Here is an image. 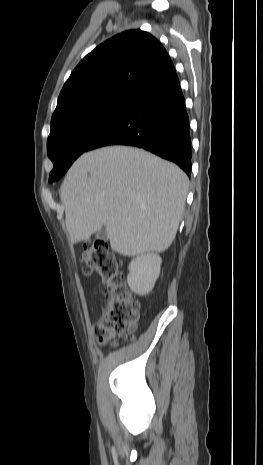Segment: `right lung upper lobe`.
Listing matches in <instances>:
<instances>
[{
    "label": "right lung upper lobe",
    "mask_w": 263,
    "mask_h": 465,
    "mask_svg": "<svg viewBox=\"0 0 263 465\" xmlns=\"http://www.w3.org/2000/svg\"><path fill=\"white\" fill-rule=\"evenodd\" d=\"M174 73L169 55L155 37L141 30L125 31L83 58L66 81L52 118L94 99L135 97Z\"/></svg>",
    "instance_id": "1"
}]
</instances>
